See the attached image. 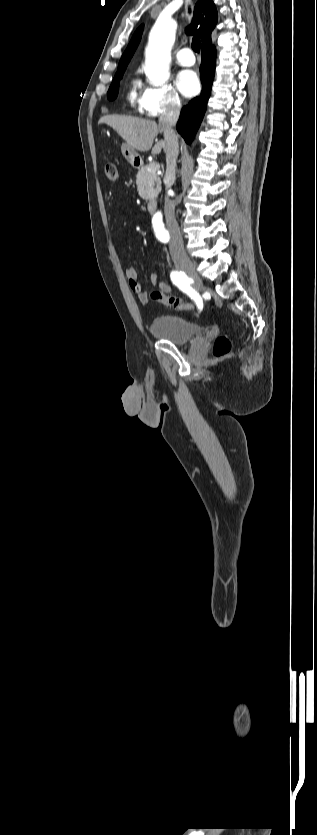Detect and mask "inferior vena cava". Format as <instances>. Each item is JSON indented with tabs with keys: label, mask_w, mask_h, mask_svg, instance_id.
Instances as JSON below:
<instances>
[{
	"label": "inferior vena cava",
	"mask_w": 317,
	"mask_h": 835,
	"mask_svg": "<svg viewBox=\"0 0 317 835\" xmlns=\"http://www.w3.org/2000/svg\"><path fill=\"white\" fill-rule=\"evenodd\" d=\"M181 110V104L178 101L170 103L166 110L159 118V125L164 131V139L166 142V173H165V189L171 188L175 181L176 161L179 154L178 136L173 127L176 125ZM164 213L166 219L167 229L170 233L169 249L172 259H177L185 256L183 239L180 228L175 218V203L170 200L168 195L165 196Z\"/></svg>",
	"instance_id": "1"
}]
</instances>
